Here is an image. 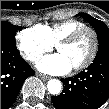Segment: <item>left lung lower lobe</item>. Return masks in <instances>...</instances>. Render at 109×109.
<instances>
[{
    "label": "left lung lower lobe",
    "mask_w": 109,
    "mask_h": 109,
    "mask_svg": "<svg viewBox=\"0 0 109 109\" xmlns=\"http://www.w3.org/2000/svg\"><path fill=\"white\" fill-rule=\"evenodd\" d=\"M61 81L62 93L52 97L56 109L100 108L109 98V50L97 53L86 71Z\"/></svg>",
    "instance_id": "left-lung-lower-lobe-1"
}]
</instances>
